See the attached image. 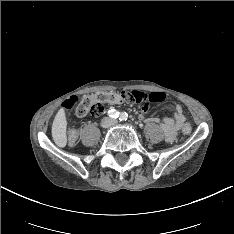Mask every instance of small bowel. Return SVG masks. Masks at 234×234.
Instances as JSON below:
<instances>
[{"label": "small bowel", "instance_id": "1", "mask_svg": "<svg viewBox=\"0 0 234 234\" xmlns=\"http://www.w3.org/2000/svg\"><path fill=\"white\" fill-rule=\"evenodd\" d=\"M147 107H143L139 112V118L144 119L146 123H159L161 128L164 131L165 139L168 142L174 140L175 135L178 130L184 127L185 125V116L183 114L182 107L180 105H176L173 108L172 117H166L163 120H159L158 118H145V112Z\"/></svg>", "mask_w": 234, "mask_h": 234}]
</instances>
